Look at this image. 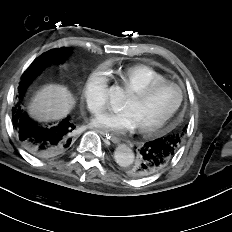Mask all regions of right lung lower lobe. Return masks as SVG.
Wrapping results in <instances>:
<instances>
[{
  "mask_svg": "<svg viewBox=\"0 0 232 232\" xmlns=\"http://www.w3.org/2000/svg\"><path fill=\"white\" fill-rule=\"evenodd\" d=\"M28 86L19 88L18 102L12 108L13 126L21 145L39 158H52L65 153L72 145L74 123L70 116L52 125L32 120L20 107Z\"/></svg>",
  "mask_w": 232,
  "mask_h": 232,
  "instance_id": "98d812e1",
  "label": "right lung lower lobe"
}]
</instances>
